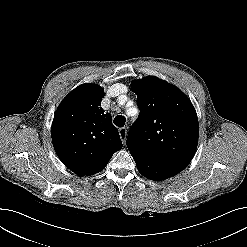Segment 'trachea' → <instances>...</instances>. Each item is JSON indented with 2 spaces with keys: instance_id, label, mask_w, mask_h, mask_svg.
Here are the masks:
<instances>
[{
  "instance_id": "trachea-1",
  "label": "trachea",
  "mask_w": 247,
  "mask_h": 247,
  "mask_svg": "<svg viewBox=\"0 0 247 247\" xmlns=\"http://www.w3.org/2000/svg\"><path fill=\"white\" fill-rule=\"evenodd\" d=\"M125 117L122 115H118L114 118L113 122L117 127H123L125 125Z\"/></svg>"
}]
</instances>
